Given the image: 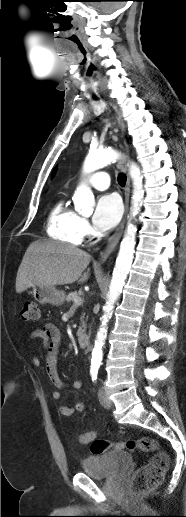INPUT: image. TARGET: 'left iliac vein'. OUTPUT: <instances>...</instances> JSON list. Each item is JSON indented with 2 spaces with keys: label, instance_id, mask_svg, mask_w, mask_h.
Masks as SVG:
<instances>
[{
  "label": "left iliac vein",
  "instance_id": "obj_1",
  "mask_svg": "<svg viewBox=\"0 0 186 517\" xmlns=\"http://www.w3.org/2000/svg\"><path fill=\"white\" fill-rule=\"evenodd\" d=\"M98 396H99V401H100V404L106 408V409H110L112 407V402L111 400L108 398V396L106 395L105 391L103 390V388H100L99 390V393H98Z\"/></svg>",
  "mask_w": 186,
  "mask_h": 517
}]
</instances>
